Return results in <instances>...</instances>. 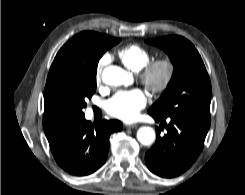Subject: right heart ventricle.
<instances>
[{
    "label": "right heart ventricle",
    "mask_w": 245,
    "mask_h": 195,
    "mask_svg": "<svg viewBox=\"0 0 245 195\" xmlns=\"http://www.w3.org/2000/svg\"><path fill=\"white\" fill-rule=\"evenodd\" d=\"M117 55L121 62L133 72H139L152 59V54L138 44H130L121 48Z\"/></svg>",
    "instance_id": "e07e8e85"
}]
</instances>
